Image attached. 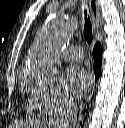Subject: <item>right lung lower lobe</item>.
Listing matches in <instances>:
<instances>
[{
	"label": "right lung lower lobe",
	"instance_id": "right-lung-lower-lobe-1",
	"mask_svg": "<svg viewBox=\"0 0 125 128\" xmlns=\"http://www.w3.org/2000/svg\"><path fill=\"white\" fill-rule=\"evenodd\" d=\"M93 58H94V72L96 76H99L101 71V64H102V47L99 42L94 47Z\"/></svg>",
	"mask_w": 125,
	"mask_h": 128
}]
</instances>
